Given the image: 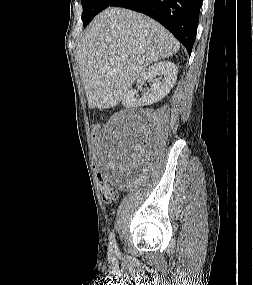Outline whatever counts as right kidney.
Instances as JSON below:
<instances>
[{
    "instance_id": "1",
    "label": "right kidney",
    "mask_w": 253,
    "mask_h": 285,
    "mask_svg": "<svg viewBox=\"0 0 253 285\" xmlns=\"http://www.w3.org/2000/svg\"><path fill=\"white\" fill-rule=\"evenodd\" d=\"M178 68L170 61H160L145 69L137 79V87H141L147 80L153 84L143 98L137 100L134 96L136 90H130L123 98L126 107L147 106L162 100L174 86L177 79ZM159 76V78H156Z\"/></svg>"
}]
</instances>
